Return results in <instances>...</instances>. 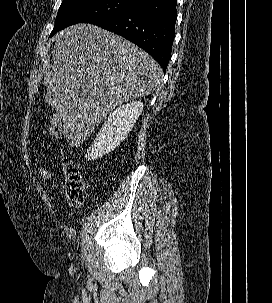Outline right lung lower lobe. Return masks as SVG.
I'll return each instance as SVG.
<instances>
[{"label": "right lung lower lobe", "mask_w": 272, "mask_h": 303, "mask_svg": "<svg viewBox=\"0 0 272 303\" xmlns=\"http://www.w3.org/2000/svg\"><path fill=\"white\" fill-rule=\"evenodd\" d=\"M176 5L177 0H150L92 24L135 43L166 71L175 37Z\"/></svg>", "instance_id": "1"}]
</instances>
